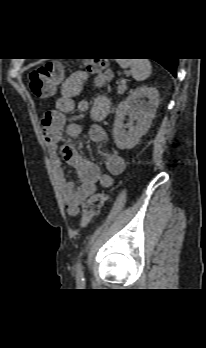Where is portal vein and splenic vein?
Wrapping results in <instances>:
<instances>
[{
	"label": "portal vein and splenic vein",
	"mask_w": 206,
	"mask_h": 348,
	"mask_svg": "<svg viewBox=\"0 0 206 348\" xmlns=\"http://www.w3.org/2000/svg\"><path fill=\"white\" fill-rule=\"evenodd\" d=\"M121 82H122V83H125V82H126V80H125V79H123V80H121Z\"/></svg>",
	"instance_id": "1"
}]
</instances>
